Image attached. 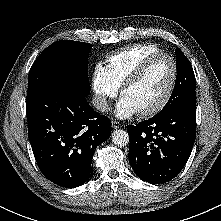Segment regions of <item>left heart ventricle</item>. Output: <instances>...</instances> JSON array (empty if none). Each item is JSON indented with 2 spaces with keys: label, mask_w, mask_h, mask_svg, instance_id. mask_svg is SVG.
Instances as JSON below:
<instances>
[{
  "label": "left heart ventricle",
  "mask_w": 221,
  "mask_h": 221,
  "mask_svg": "<svg viewBox=\"0 0 221 221\" xmlns=\"http://www.w3.org/2000/svg\"><path fill=\"white\" fill-rule=\"evenodd\" d=\"M172 75V65L168 58L155 59L138 81L129 87L124 95L138 111L155 106L163 97Z\"/></svg>",
  "instance_id": "obj_1"
}]
</instances>
